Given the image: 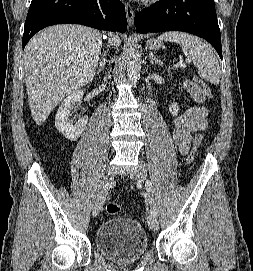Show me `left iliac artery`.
I'll list each match as a JSON object with an SVG mask.
<instances>
[{
	"mask_svg": "<svg viewBox=\"0 0 253 271\" xmlns=\"http://www.w3.org/2000/svg\"><path fill=\"white\" fill-rule=\"evenodd\" d=\"M146 190L148 193V197H149V202L151 204V212L153 214H155L156 216L158 215V210L156 208V203L154 202L152 196H153V188H152V184L149 180L146 181Z\"/></svg>",
	"mask_w": 253,
	"mask_h": 271,
	"instance_id": "1",
	"label": "left iliac artery"
}]
</instances>
